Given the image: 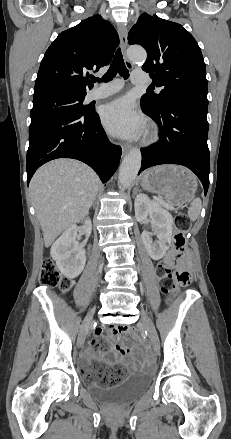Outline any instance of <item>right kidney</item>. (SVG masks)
<instances>
[{
	"instance_id": "ca27d5eb",
	"label": "right kidney",
	"mask_w": 231,
	"mask_h": 439,
	"mask_svg": "<svg viewBox=\"0 0 231 439\" xmlns=\"http://www.w3.org/2000/svg\"><path fill=\"white\" fill-rule=\"evenodd\" d=\"M87 234L91 230V220L86 219ZM78 228L71 225L54 242L51 247V256L56 261L60 272L68 279L76 278L81 274L86 262L85 250L76 240Z\"/></svg>"
}]
</instances>
